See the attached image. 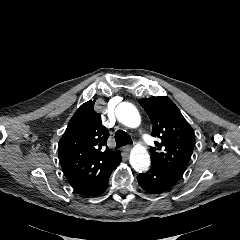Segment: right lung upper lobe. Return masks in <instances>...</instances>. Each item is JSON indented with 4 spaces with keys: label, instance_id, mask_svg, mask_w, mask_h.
Here are the masks:
<instances>
[{
    "label": "right lung upper lobe",
    "instance_id": "1",
    "mask_svg": "<svg viewBox=\"0 0 240 240\" xmlns=\"http://www.w3.org/2000/svg\"><path fill=\"white\" fill-rule=\"evenodd\" d=\"M95 101L82 104L59 141V160L71 186L81 195H91L121 162L120 152L107 148L108 130Z\"/></svg>",
    "mask_w": 240,
    "mask_h": 240
}]
</instances>
